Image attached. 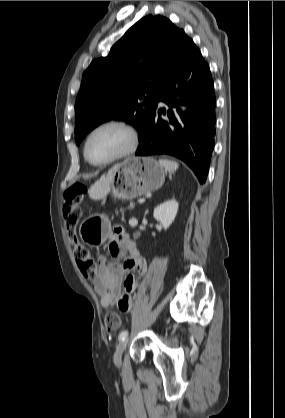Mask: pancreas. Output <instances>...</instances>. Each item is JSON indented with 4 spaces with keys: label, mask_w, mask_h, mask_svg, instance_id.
I'll use <instances>...</instances> for the list:
<instances>
[{
    "label": "pancreas",
    "mask_w": 285,
    "mask_h": 418,
    "mask_svg": "<svg viewBox=\"0 0 285 418\" xmlns=\"http://www.w3.org/2000/svg\"><path fill=\"white\" fill-rule=\"evenodd\" d=\"M131 207H134V205H133V204H131Z\"/></svg>",
    "instance_id": "pancreas-1"
}]
</instances>
